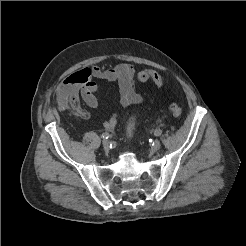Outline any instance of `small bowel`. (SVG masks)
<instances>
[{"instance_id": "c3829d8e", "label": "small bowel", "mask_w": 246, "mask_h": 246, "mask_svg": "<svg viewBox=\"0 0 246 246\" xmlns=\"http://www.w3.org/2000/svg\"><path fill=\"white\" fill-rule=\"evenodd\" d=\"M135 68L129 63L114 67H86L67 77L57 90V104L61 111L71 110L78 118L86 119L88 113L82 108L80 100L88 107L97 108L98 85L95 79H104L117 85L120 104L125 107L137 106L143 99L134 89ZM117 124V115L113 114L104 122V128L112 131Z\"/></svg>"}]
</instances>
